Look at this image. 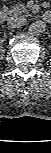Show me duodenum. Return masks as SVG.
Returning a JSON list of instances; mask_svg holds the SVG:
<instances>
[{
  "mask_svg": "<svg viewBox=\"0 0 51 153\" xmlns=\"http://www.w3.org/2000/svg\"><path fill=\"white\" fill-rule=\"evenodd\" d=\"M49 17H50L49 13H45V14L43 15V18H44L45 20L49 19ZM6 18H7V12H6L5 10H1V11H0V22H1V23L5 22Z\"/></svg>",
  "mask_w": 51,
  "mask_h": 153,
  "instance_id": "duodenum-1",
  "label": "duodenum"
}]
</instances>
